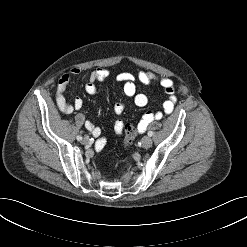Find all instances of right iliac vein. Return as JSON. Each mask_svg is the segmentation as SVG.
<instances>
[{"mask_svg":"<svg viewBox=\"0 0 247 247\" xmlns=\"http://www.w3.org/2000/svg\"><path fill=\"white\" fill-rule=\"evenodd\" d=\"M90 143V138L88 136H84L82 139V144H88Z\"/></svg>","mask_w":247,"mask_h":247,"instance_id":"1","label":"right iliac vein"}]
</instances>
